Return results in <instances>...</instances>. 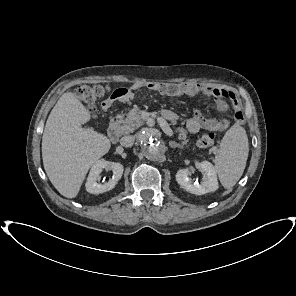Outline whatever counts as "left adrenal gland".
<instances>
[{
	"label": "left adrenal gland",
	"mask_w": 296,
	"mask_h": 296,
	"mask_svg": "<svg viewBox=\"0 0 296 296\" xmlns=\"http://www.w3.org/2000/svg\"><path fill=\"white\" fill-rule=\"evenodd\" d=\"M169 146H170L171 148H176V147H178V148H183V145H180V144H178V143H176V142H174V141H170V142H169Z\"/></svg>",
	"instance_id": "a2214340"
}]
</instances>
